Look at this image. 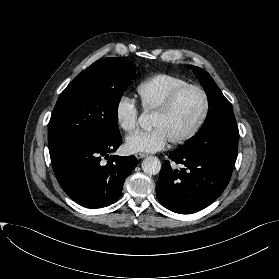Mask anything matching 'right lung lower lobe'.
I'll return each mask as SVG.
<instances>
[{"label":"right lung lower lobe","instance_id":"obj_1","mask_svg":"<svg viewBox=\"0 0 279 279\" xmlns=\"http://www.w3.org/2000/svg\"><path fill=\"white\" fill-rule=\"evenodd\" d=\"M121 135L95 144H79L50 154L61 188L78 204L88 208L109 206L119 199L123 183L137 164L135 156H111ZM108 159L104 164L102 158Z\"/></svg>","mask_w":279,"mask_h":279}]
</instances>
